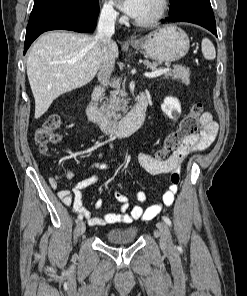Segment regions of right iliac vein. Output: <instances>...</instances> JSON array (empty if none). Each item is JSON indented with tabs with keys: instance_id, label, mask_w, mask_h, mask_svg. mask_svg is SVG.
<instances>
[{
	"instance_id": "right-iliac-vein-1",
	"label": "right iliac vein",
	"mask_w": 247,
	"mask_h": 296,
	"mask_svg": "<svg viewBox=\"0 0 247 296\" xmlns=\"http://www.w3.org/2000/svg\"><path fill=\"white\" fill-rule=\"evenodd\" d=\"M85 230H86V225H85V223H84L83 221H79V222L77 223V233H78L79 235H82V234L85 232Z\"/></svg>"
}]
</instances>
